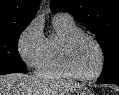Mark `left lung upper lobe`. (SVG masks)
<instances>
[{
	"mask_svg": "<svg viewBox=\"0 0 119 95\" xmlns=\"http://www.w3.org/2000/svg\"><path fill=\"white\" fill-rule=\"evenodd\" d=\"M50 7L70 13L95 34L105 59L99 80L119 82V0H51Z\"/></svg>",
	"mask_w": 119,
	"mask_h": 95,
	"instance_id": "1",
	"label": "left lung upper lobe"
}]
</instances>
